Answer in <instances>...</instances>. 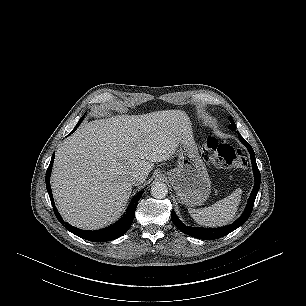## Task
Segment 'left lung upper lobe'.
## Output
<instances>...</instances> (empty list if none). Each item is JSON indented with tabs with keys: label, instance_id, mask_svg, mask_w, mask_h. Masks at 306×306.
<instances>
[{
	"label": "left lung upper lobe",
	"instance_id": "1",
	"mask_svg": "<svg viewBox=\"0 0 306 306\" xmlns=\"http://www.w3.org/2000/svg\"><path fill=\"white\" fill-rule=\"evenodd\" d=\"M231 125L229 126L230 129L235 130L236 129V125L232 119V117L229 118ZM239 134V132H237Z\"/></svg>",
	"mask_w": 306,
	"mask_h": 306
}]
</instances>
